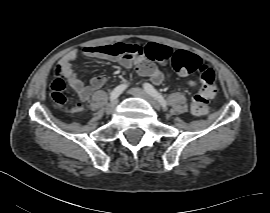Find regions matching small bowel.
Instances as JSON below:
<instances>
[{
  "instance_id": "c3829d8e",
  "label": "small bowel",
  "mask_w": 270,
  "mask_h": 213,
  "mask_svg": "<svg viewBox=\"0 0 270 213\" xmlns=\"http://www.w3.org/2000/svg\"><path fill=\"white\" fill-rule=\"evenodd\" d=\"M151 50L162 64H166V61L171 60L172 56L175 54V51L170 46L163 44L154 43L151 46ZM83 55L90 59L115 61L124 68H134L136 73L140 76H151L153 83L156 85L160 84L163 80L161 71L155 66L145 62L135 61L128 56L117 55L110 48V45L87 46L83 49ZM76 56L77 52L71 50L58 61L56 66L58 77L55 81L60 82L63 90L69 86L76 91L80 101L83 103L91 98L93 91L98 90L105 83L106 76H96L91 80L90 84L87 85L73 67ZM188 84L194 89L199 87V84L194 80L189 81ZM82 103L74 104L72 111L74 113L80 112L81 107H78L77 104Z\"/></svg>"
}]
</instances>
